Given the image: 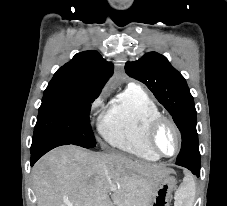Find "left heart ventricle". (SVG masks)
Segmentation results:
<instances>
[{
	"label": "left heart ventricle",
	"mask_w": 227,
	"mask_h": 206,
	"mask_svg": "<svg viewBox=\"0 0 227 206\" xmlns=\"http://www.w3.org/2000/svg\"><path fill=\"white\" fill-rule=\"evenodd\" d=\"M155 142L157 148L166 155L173 154L177 147V138L175 132L167 124H164L158 130L155 137Z\"/></svg>",
	"instance_id": "1"
}]
</instances>
